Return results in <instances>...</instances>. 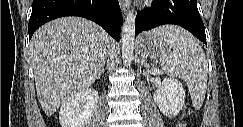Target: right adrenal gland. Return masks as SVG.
Instances as JSON below:
<instances>
[{"label": "right adrenal gland", "instance_id": "2a0ac1e0", "mask_svg": "<svg viewBox=\"0 0 243 127\" xmlns=\"http://www.w3.org/2000/svg\"><path fill=\"white\" fill-rule=\"evenodd\" d=\"M104 74V66L102 67V69L100 70V72L98 73L97 78L99 79L101 77V75Z\"/></svg>", "mask_w": 243, "mask_h": 127}]
</instances>
